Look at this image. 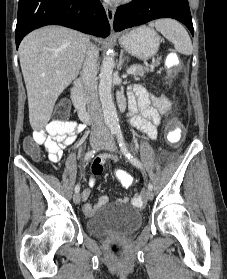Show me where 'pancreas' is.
<instances>
[{"mask_svg":"<svg viewBox=\"0 0 227 279\" xmlns=\"http://www.w3.org/2000/svg\"><path fill=\"white\" fill-rule=\"evenodd\" d=\"M158 65H159L158 61H154V62H152V64L147 65L146 67L141 66V65H133L136 68V70L132 73V75L135 77H138V76L143 77L147 72L154 71V68ZM133 66H131V67H133Z\"/></svg>","mask_w":227,"mask_h":279,"instance_id":"pancreas-1","label":"pancreas"}]
</instances>
